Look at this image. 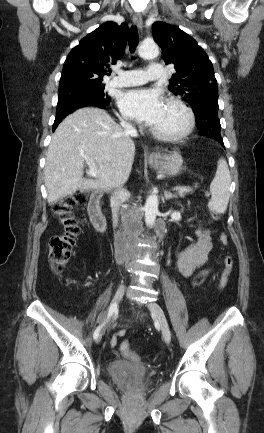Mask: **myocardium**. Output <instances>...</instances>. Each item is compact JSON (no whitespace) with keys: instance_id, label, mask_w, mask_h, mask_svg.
<instances>
[{"instance_id":"f54148a6","label":"myocardium","mask_w":264,"mask_h":433,"mask_svg":"<svg viewBox=\"0 0 264 433\" xmlns=\"http://www.w3.org/2000/svg\"><path fill=\"white\" fill-rule=\"evenodd\" d=\"M166 104L179 108L185 114L186 122L184 127L175 133H164L151 127L150 133L155 138L166 142H177L183 140L192 132L195 126V121H196L195 114L193 110L185 102H183L178 98H174V97L168 98L166 100Z\"/></svg>"}]
</instances>
